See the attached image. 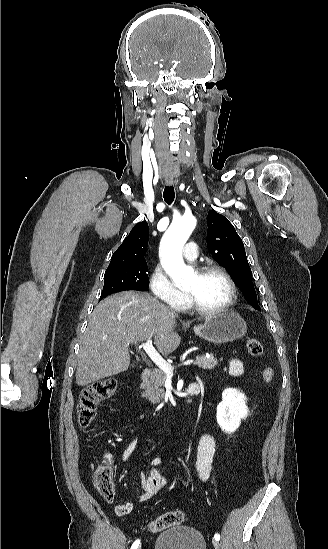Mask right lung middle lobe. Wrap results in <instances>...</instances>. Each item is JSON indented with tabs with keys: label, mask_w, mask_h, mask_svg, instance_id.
<instances>
[{
	"label": "right lung middle lobe",
	"mask_w": 328,
	"mask_h": 549,
	"mask_svg": "<svg viewBox=\"0 0 328 549\" xmlns=\"http://www.w3.org/2000/svg\"><path fill=\"white\" fill-rule=\"evenodd\" d=\"M146 261H139L120 268L107 270L104 275V287L100 300L104 297L124 291H144L149 288Z\"/></svg>",
	"instance_id": "dd1d6c3e"
}]
</instances>
